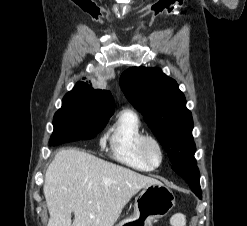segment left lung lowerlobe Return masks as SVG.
<instances>
[{
	"label": "left lung lower lobe",
	"instance_id": "obj_1",
	"mask_svg": "<svg viewBox=\"0 0 247 226\" xmlns=\"http://www.w3.org/2000/svg\"><path fill=\"white\" fill-rule=\"evenodd\" d=\"M172 169L187 181L191 190L201 199L202 194L199 183L200 176L196 162L187 167L172 166Z\"/></svg>",
	"mask_w": 247,
	"mask_h": 226
}]
</instances>
